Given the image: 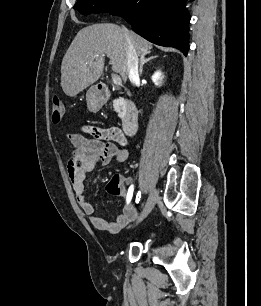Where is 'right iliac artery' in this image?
Returning a JSON list of instances; mask_svg holds the SVG:
<instances>
[{
	"label": "right iliac artery",
	"instance_id": "82829eb1",
	"mask_svg": "<svg viewBox=\"0 0 261 306\" xmlns=\"http://www.w3.org/2000/svg\"><path fill=\"white\" fill-rule=\"evenodd\" d=\"M132 191H133V186L130 187L127 195V202H129L132 198ZM141 198V191H138L137 196H136V203L138 204Z\"/></svg>",
	"mask_w": 261,
	"mask_h": 306
}]
</instances>
